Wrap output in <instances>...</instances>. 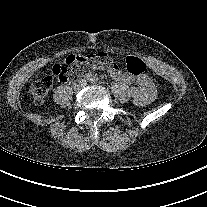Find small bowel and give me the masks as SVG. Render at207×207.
Segmentation results:
<instances>
[{"instance_id": "small-bowel-1", "label": "small bowel", "mask_w": 207, "mask_h": 207, "mask_svg": "<svg viewBox=\"0 0 207 207\" xmlns=\"http://www.w3.org/2000/svg\"><path fill=\"white\" fill-rule=\"evenodd\" d=\"M98 70H105L109 73V75L116 81L130 84L136 83V86L132 87L130 90V94L134 100V102L138 105L145 106L150 104L156 95V86L153 80L148 76L141 77H133L122 71L119 64L114 63L113 65L107 68H94ZM58 81L60 83H67L69 81V77L67 74L58 77Z\"/></svg>"}]
</instances>
